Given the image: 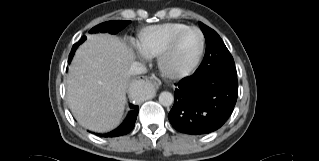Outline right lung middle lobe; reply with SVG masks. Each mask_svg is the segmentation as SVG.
Instances as JSON below:
<instances>
[{"label": "right lung middle lobe", "instance_id": "right-lung-middle-lobe-1", "mask_svg": "<svg viewBox=\"0 0 319 161\" xmlns=\"http://www.w3.org/2000/svg\"><path fill=\"white\" fill-rule=\"evenodd\" d=\"M130 23V21H123V20H113V21H108L105 23H101L95 27H93L89 32L90 33H96V32H108L111 34H116L119 31H121L125 26H127ZM86 39L85 36H83L81 38V40L74 44V46L72 47V51L69 55V60L68 62L70 63L74 52L76 50V48Z\"/></svg>", "mask_w": 319, "mask_h": 161}]
</instances>
